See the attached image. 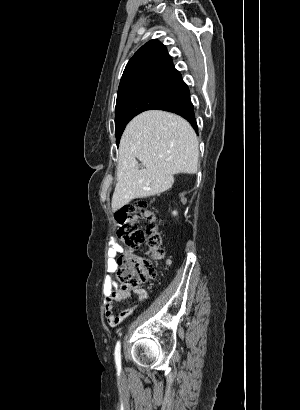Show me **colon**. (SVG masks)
<instances>
[{"label":"colon","mask_w":300,"mask_h":410,"mask_svg":"<svg viewBox=\"0 0 300 410\" xmlns=\"http://www.w3.org/2000/svg\"><path fill=\"white\" fill-rule=\"evenodd\" d=\"M115 218L118 223V238L133 249L145 243L151 257L145 258L132 252L124 254L118 261V281L124 289H132L154 280L157 269L152 260L166 259L164 236L158 220L142 200L121 208L115 213ZM138 218L146 220L143 228L137 227Z\"/></svg>","instance_id":"5ec220e1"}]
</instances>
